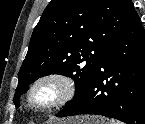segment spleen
<instances>
[{
  "label": "spleen",
  "instance_id": "1",
  "mask_svg": "<svg viewBox=\"0 0 145 124\" xmlns=\"http://www.w3.org/2000/svg\"><path fill=\"white\" fill-rule=\"evenodd\" d=\"M111 124H122V123H120V122H115V121H111Z\"/></svg>",
  "mask_w": 145,
  "mask_h": 124
}]
</instances>
